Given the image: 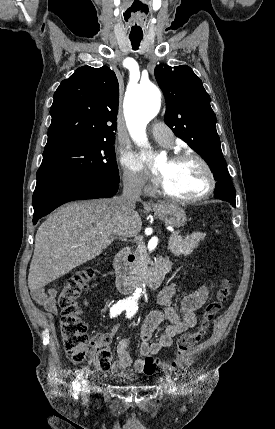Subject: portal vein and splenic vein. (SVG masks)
I'll return each mask as SVG.
<instances>
[{
    "mask_svg": "<svg viewBox=\"0 0 275 429\" xmlns=\"http://www.w3.org/2000/svg\"><path fill=\"white\" fill-rule=\"evenodd\" d=\"M174 236H178V235H174ZM174 240V237H170L169 242H168V246L170 247L172 244H174L172 241Z\"/></svg>",
    "mask_w": 275,
    "mask_h": 429,
    "instance_id": "portal-vein-and-splenic-vein-1",
    "label": "portal vein and splenic vein"
}]
</instances>
